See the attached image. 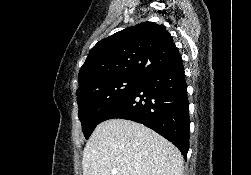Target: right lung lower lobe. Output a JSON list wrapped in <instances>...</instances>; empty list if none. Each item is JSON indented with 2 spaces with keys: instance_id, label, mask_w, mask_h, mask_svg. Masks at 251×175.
I'll return each instance as SVG.
<instances>
[{
  "instance_id": "98d812e1",
  "label": "right lung lower lobe",
  "mask_w": 251,
  "mask_h": 175,
  "mask_svg": "<svg viewBox=\"0 0 251 175\" xmlns=\"http://www.w3.org/2000/svg\"><path fill=\"white\" fill-rule=\"evenodd\" d=\"M121 118L156 131L187 157L189 149V102L182 61L142 78L118 103L106 111L101 122Z\"/></svg>"
}]
</instances>
